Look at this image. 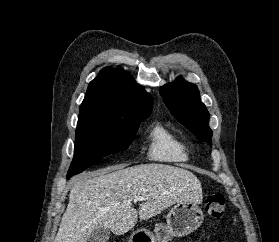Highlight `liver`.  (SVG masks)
<instances>
[{
  "label": "liver",
  "instance_id": "6515ba94",
  "mask_svg": "<svg viewBox=\"0 0 279 242\" xmlns=\"http://www.w3.org/2000/svg\"><path fill=\"white\" fill-rule=\"evenodd\" d=\"M112 166L74 178L54 242H87L99 227L122 235L179 201L201 203L202 187L189 170L163 164ZM146 199L137 211L133 198Z\"/></svg>",
  "mask_w": 279,
  "mask_h": 242
}]
</instances>
